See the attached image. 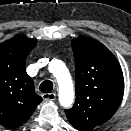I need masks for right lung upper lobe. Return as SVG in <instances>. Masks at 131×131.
Instances as JSON below:
<instances>
[{"label":"right lung upper lobe","mask_w":131,"mask_h":131,"mask_svg":"<svg viewBox=\"0 0 131 131\" xmlns=\"http://www.w3.org/2000/svg\"><path fill=\"white\" fill-rule=\"evenodd\" d=\"M37 40L23 35L0 44V125L15 129L33 114L42 98L26 73L25 60Z\"/></svg>","instance_id":"right-lung-upper-lobe-1"}]
</instances>
